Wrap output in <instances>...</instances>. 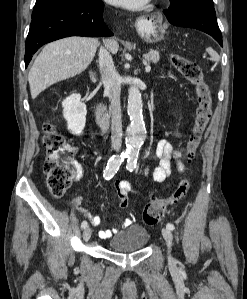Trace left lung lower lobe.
Wrapping results in <instances>:
<instances>
[{
  "label": "left lung lower lobe",
  "mask_w": 247,
  "mask_h": 299,
  "mask_svg": "<svg viewBox=\"0 0 247 299\" xmlns=\"http://www.w3.org/2000/svg\"><path fill=\"white\" fill-rule=\"evenodd\" d=\"M164 14L171 24L201 30L211 35L223 46L214 6H209L196 0H187L173 9L168 8L164 10Z\"/></svg>",
  "instance_id": "0a47b994"
}]
</instances>
